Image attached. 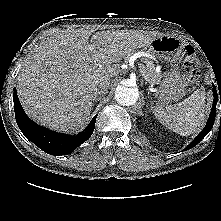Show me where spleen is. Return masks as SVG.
<instances>
[{
  "mask_svg": "<svg viewBox=\"0 0 221 221\" xmlns=\"http://www.w3.org/2000/svg\"><path fill=\"white\" fill-rule=\"evenodd\" d=\"M205 92L197 89L190 97L174 105L153 107L154 115L168 129L188 136L205 122Z\"/></svg>",
  "mask_w": 221,
  "mask_h": 221,
  "instance_id": "1",
  "label": "spleen"
}]
</instances>
